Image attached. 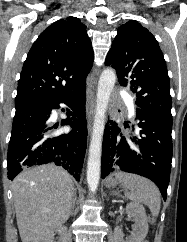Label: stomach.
<instances>
[{"label": "stomach", "instance_id": "obj_1", "mask_svg": "<svg viewBox=\"0 0 187 242\" xmlns=\"http://www.w3.org/2000/svg\"><path fill=\"white\" fill-rule=\"evenodd\" d=\"M118 183H120V181L117 179V177H115V178L109 179L107 181V186L108 187H115Z\"/></svg>", "mask_w": 187, "mask_h": 242}]
</instances>
